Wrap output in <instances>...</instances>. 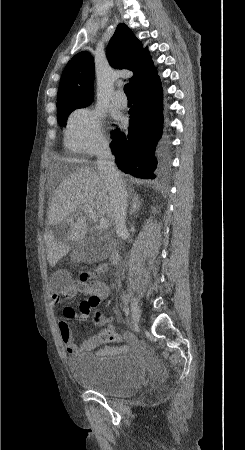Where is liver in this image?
<instances>
[{"mask_svg":"<svg viewBox=\"0 0 245 450\" xmlns=\"http://www.w3.org/2000/svg\"><path fill=\"white\" fill-rule=\"evenodd\" d=\"M89 206L97 217L108 216L114 220L113 207L106 185L93 167L85 166L70 172L56 188L48 209L47 227L44 240L47 260L51 267L66 255L69 241L77 242L85 237L88 230L86 217L81 215V207ZM76 221L63 241L54 234L51 226L66 222L71 217Z\"/></svg>","mask_w":245,"mask_h":450,"instance_id":"liver-1","label":"liver"}]
</instances>
